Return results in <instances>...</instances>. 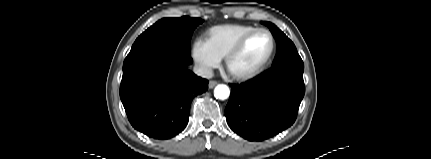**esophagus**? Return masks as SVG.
Segmentation results:
<instances>
[{
    "mask_svg": "<svg viewBox=\"0 0 431 159\" xmlns=\"http://www.w3.org/2000/svg\"><path fill=\"white\" fill-rule=\"evenodd\" d=\"M216 85H217V81H213V80H211V81H209L208 87H209V89H212V88H214Z\"/></svg>",
    "mask_w": 431,
    "mask_h": 159,
    "instance_id": "obj_1",
    "label": "esophagus"
}]
</instances>
